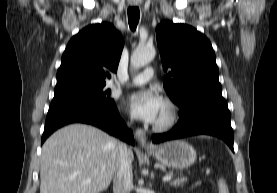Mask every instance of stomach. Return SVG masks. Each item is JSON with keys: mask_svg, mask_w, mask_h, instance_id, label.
Listing matches in <instances>:
<instances>
[{"mask_svg": "<svg viewBox=\"0 0 277 193\" xmlns=\"http://www.w3.org/2000/svg\"><path fill=\"white\" fill-rule=\"evenodd\" d=\"M149 150L158 162L173 169L187 168L197 158L195 149L184 140L165 142Z\"/></svg>", "mask_w": 277, "mask_h": 193, "instance_id": "obj_1", "label": "stomach"}]
</instances>
